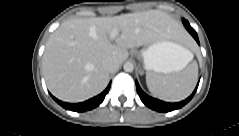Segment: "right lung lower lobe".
<instances>
[{"label": "right lung lower lobe", "instance_id": "98d812e1", "mask_svg": "<svg viewBox=\"0 0 239 136\" xmlns=\"http://www.w3.org/2000/svg\"><path fill=\"white\" fill-rule=\"evenodd\" d=\"M110 86H111V82L109 83L107 88L101 94H99L98 96L91 98L85 102H82V103L71 104V103L62 102L53 96H52V98L59 105H61L63 108H65L67 110H71V111H75V112H84V111L91 110V109L99 106V104H101L103 102L106 94L108 93Z\"/></svg>", "mask_w": 239, "mask_h": 136}]
</instances>
